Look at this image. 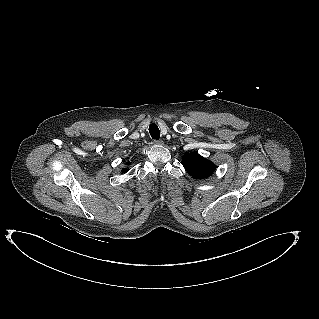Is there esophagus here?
<instances>
[{"label": "esophagus", "instance_id": "34e87169", "mask_svg": "<svg viewBox=\"0 0 319 319\" xmlns=\"http://www.w3.org/2000/svg\"><path fill=\"white\" fill-rule=\"evenodd\" d=\"M155 145H163V141L162 140H154L153 142Z\"/></svg>", "mask_w": 319, "mask_h": 319}]
</instances>
